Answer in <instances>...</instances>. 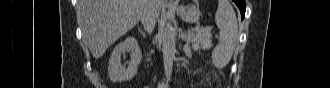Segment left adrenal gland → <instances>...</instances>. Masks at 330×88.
Listing matches in <instances>:
<instances>
[{"instance_id": "1", "label": "left adrenal gland", "mask_w": 330, "mask_h": 88, "mask_svg": "<svg viewBox=\"0 0 330 88\" xmlns=\"http://www.w3.org/2000/svg\"><path fill=\"white\" fill-rule=\"evenodd\" d=\"M186 55H190V49H188L186 46L183 48Z\"/></svg>"}]
</instances>
